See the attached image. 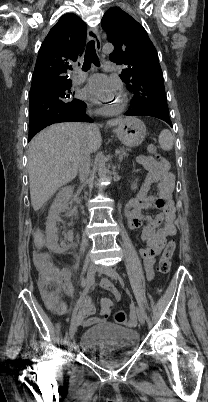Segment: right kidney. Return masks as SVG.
<instances>
[{
  "mask_svg": "<svg viewBox=\"0 0 208 402\" xmlns=\"http://www.w3.org/2000/svg\"><path fill=\"white\" fill-rule=\"evenodd\" d=\"M73 190L74 188H72V186H65V188H62V190L58 192L49 210L45 234L47 238V246L49 250H51V252H54V254H63V252H66V250H68V246L67 244H65V242H61V244H58V228H56V224L61 220L60 212H65V210H69V202L73 196ZM67 240L68 242H72V232H69V234H67Z\"/></svg>",
  "mask_w": 208,
  "mask_h": 402,
  "instance_id": "right-kidney-1",
  "label": "right kidney"
}]
</instances>
